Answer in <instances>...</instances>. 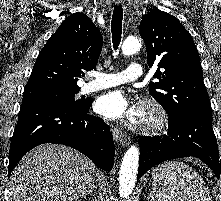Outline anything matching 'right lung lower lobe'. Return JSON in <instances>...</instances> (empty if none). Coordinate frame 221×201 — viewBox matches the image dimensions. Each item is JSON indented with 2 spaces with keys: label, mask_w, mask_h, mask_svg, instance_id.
Here are the masks:
<instances>
[{
  "label": "right lung lower lobe",
  "mask_w": 221,
  "mask_h": 201,
  "mask_svg": "<svg viewBox=\"0 0 221 201\" xmlns=\"http://www.w3.org/2000/svg\"><path fill=\"white\" fill-rule=\"evenodd\" d=\"M92 100L84 107H73L47 100L22 101L10 146L8 177L19 160L43 143L70 146L105 171L114 163L115 148L109 126L89 115Z\"/></svg>",
  "instance_id": "right-lung-lower-lobe-1"
}]
</instances>
